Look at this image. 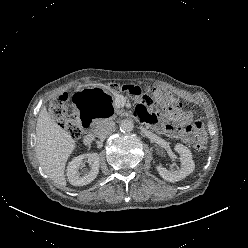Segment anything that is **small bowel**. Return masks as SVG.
<instances>
[{
	"label": "small bowel",
	"instance_id": "obj_1",
	"mask_svg": "<svg viewBox=\"0 0 248 248\" xmlns=\"http://www.w3.org/2000/svg\"><path fill=\"white\" fill-rule=\"evenodd\" d=\"M136 115L139 119L153 125L157 129H163L174 138H179L186 144H192L195 141L206 139V133L203 128L197 129L190 122V115H175L172 120L174 123L163 124L159 117L153 111L148 110L145 106L139 105L136 109Z\"/></svg>",
	"mask_w": 248,
	"mask_h": 248
}]
</instances>
